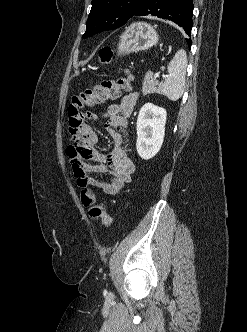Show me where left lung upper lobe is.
Masks as SVG:
<instances>
[{
    "mask_svg": "<svg viewBox=\"0 0 247 332\" xmlns=\"http://www.w3.org/2000/svg\"><path fill=\"white\" fill-rule=\"evenodd\" d=\"M146 0H92L83 38L119 28L134 16Z\"/></svg>",
    "mask_w": 247,
    "mask_h": 332,
    "instance_id": "left-lung-upper-lobe-1",
    "label": "left lung upper lobe"
}]
</instances>
